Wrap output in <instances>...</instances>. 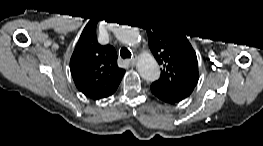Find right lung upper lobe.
Instances as JSON below:
<instances>
[{"mask_svg":"<svg viewBox=\"0 0 263 146\" xmlns=\"http://www.w3.org/2000/svg\"><path fill=\"white\" fill-rule=\"evenodd\" d=\"M70 71L77 89L97 100L112 95L125 73L117 65L116 50L97 42L96 25L84 28L70 60Z\"/></svg>","mask_w":263,"mask_h":146,"instance_id":"right-lung-upper-lobe-1","label":"right lung upper lobe"}]
</instances>
